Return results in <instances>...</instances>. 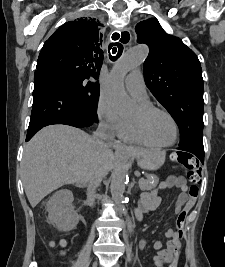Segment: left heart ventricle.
Here are the masks:
<instances>
[{"mask_svg": "<svg viewBox=\"0 0 225 267\" xmlns=\"http://www.w3.org/2000/svg\"><path fill=\"white\" fill-rule=\"evenodd\" d=\"M139 116V109L134 119ZM148 131L152 139L160 144H167L175 138V127L173 122L162 113H154L147 120Z\"/></svg>", "mask_w": 225, "mask_h": 267, "instance_id": "1", "label": "left heart ventricle"}]
</instances>
